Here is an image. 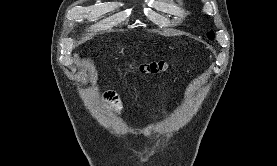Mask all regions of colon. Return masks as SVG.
Instances as JSON below:
<instances>
[{
	"label": "colon",
	"mask_w": 277,
	"mask_h": 166,
	"mask_svg": "<svg viewBox=\"0 0 277 166\" xmlns=\"http://www.w3.org/2000/svg\"><path fill=\"white\" fill-rule=\"evenodd\" d=\"M168 67L164 60H153L140 65V69L146 73H157L166 70Z\"/></svg>",
	"instance_id": "colon-1"
}]
</instances>
